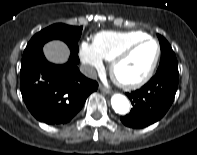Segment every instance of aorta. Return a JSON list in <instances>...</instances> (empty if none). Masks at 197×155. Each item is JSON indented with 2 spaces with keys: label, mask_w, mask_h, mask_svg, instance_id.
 I'll list each match as a JSON object with an SVG mask.
<instances>
[{
  "label": "aorta",
  "mask_w": 197,
  "mask_h": 155,
  "mask_svg": "<svg viewBox=\"0 0 197 155\" xmlns=\"http://www.w3.org/2000/svg\"><path fill=\"white\" fill-rule=\"evenodd\" d=\"M111 105L113 110L121 115L127 114L130 109V103L128 99L121 94H114L111 98Z\"/></svg>",
  "instance_id": "obj_1"
}]
</instances>
